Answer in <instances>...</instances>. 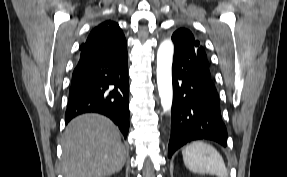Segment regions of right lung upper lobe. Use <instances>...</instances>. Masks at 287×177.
Instances as JSON below:
<instances>
[{
    "label": "right lung upper lobe",
    "mask_w": 287,
    "mask_h": 177,
    "mask_svg": "<svg viewBox=\"0 0 287 177\" xmlns=\"http://www.w3.org/2000/svg\"><path fill=\"white\" fill-rule=\"evenodd\" d=\"M92 31L95 32H113V31H121L119 25L114 21H105L98 26H96ZM83 48V45H81L80 50Z\"/></svg>",
    "instance_id": "cb5924a9"
}]
</instances>
